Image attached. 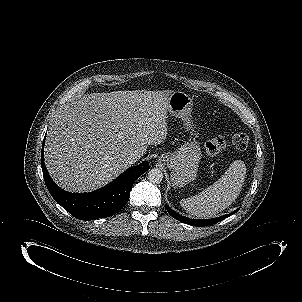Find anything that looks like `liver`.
<instances>
[{
  "mask_svg": "<svg viewBox=\"0 0 302 302\" xmlns=\"http://www.w3.org/2000/svg\"><path fill=\"white\" fill-rule=\"evenodd\" d=\"M172 90L91 93L67 103L50 123L45 164L52 179L70 192L98 189L129 165L126 154L143 156L164 142Z\"/></svg>",
  "mask_w": 302,
  "mask_h": 302,
  "instance_id": "obj_1",
  "label": "liver"
}]
</instances>
